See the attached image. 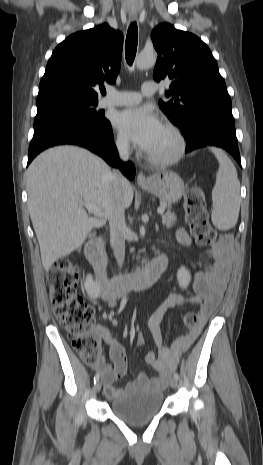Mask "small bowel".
I'll use <instances>...</instances> for the list:
<instances>
[{
    "label": "small bowel",
    "mask_w": 263,
    "mask_h": 465,
    "mask_svg": "<svg viewBox=\"0 0 263 465\" xmlns=\"http://www.w3.org/2000/svg\"><path fill=\"white\" fill-rule=\"evenodd\" d=\"M177 239L183 245L191 242V237L185 229L177 231ZM208 253L214 259V263L207 270L195 273L192 284L195 295L170 294L156 307L149 319V330L158 346V354L148 352L145 361L159 373L157 377L151 378L146 374H140L125 388H115L114 382L122 378L127 370L125 349L105 329H98V334L109 344L110 359L113 363V367L105 363L98 367V372L101 374L104 383V392L108 398L118 397L122 393L137 387L165 388L168 378L171 372L176 369L181 355L190 348L199 334H204L205 321L214 312L222 299L231 268L227 240H223L220 245L210 249ZM103 300L111 307L116 305V298L103 294ZM186 305L199 307L201 322L198 328L190 331L185 336L179 337L171 348L163 347L160 325L165 313L169 309ZM136 343L138 346L145 344L142 334L137 336Z\"/></svg>",
    "instance_id": "1"
}]
</instances>
